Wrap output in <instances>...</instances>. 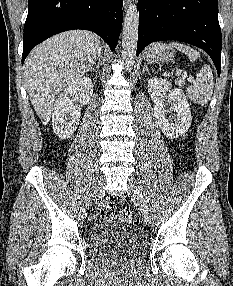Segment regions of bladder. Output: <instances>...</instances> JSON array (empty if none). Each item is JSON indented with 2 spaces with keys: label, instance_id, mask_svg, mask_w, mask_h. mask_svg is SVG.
Masks as SVG:
<instances>
[{
  "label": "bladder",
  "instance_id": "bladder-1",
  "mask_svg": "<svg viewBox=\"0 0 233 286\" xmlns=\"http://www.w3.org/2000/svg\"><path fill=\"white\" fill-rule=\"evenodd\" d=\"M147 250L145 235L114 217L100 219L90 233L89 253L98 261L124 259L136 263L145 257Z\"/></svg>",
  "mask_w": 233,
  "mask_h": 286
}]
</instances>
